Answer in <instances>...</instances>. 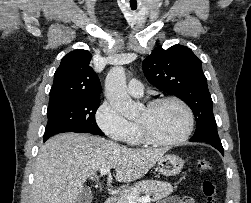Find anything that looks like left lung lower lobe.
Instances as JSON below:
<instances>
[{
	"mask_svg": "<svg viewBox=\"0 0 251 203\" xmlns=\"http://www.w3.org/2000/svg\"><path fill=\"white\" fill-rule=\"evenodd\" d=\"M191 141V140H190ZM194 142V141H192ZM210 145H212L214 148H216L222 155H224V149L222 147V144L221 143H213V142H206Z\"/></svg>",
	"mask_w": 251,
	"mask_h": 203,
	"instance_id": "1",
	"label": "left lung lower lobe"
}]
</instances>
